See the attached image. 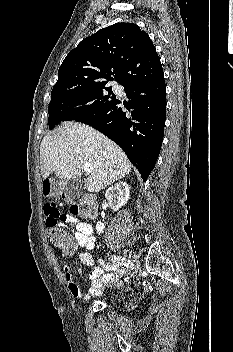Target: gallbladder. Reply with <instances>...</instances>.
I'll return each instance as SVG.
<instances>
[{
  "instance_id": "gallbladder-1",
  "label": "gallbladder",
  "mask_w": 233,
  "mask_h": 352,
  "mask_svg": "<svg viewBox=\"0 0 233 352\" xmlns=\"http://www.w3.org/2000/svg\"><path fill=\"white\" fill-rule=\"evenodd\" d=\"M83 184H84V181L81 179L70 180L67 183L66 192L68 197L71 198V200H74L76 197H79V195L83 191Z\"/></svg>"
}]
</instances>
